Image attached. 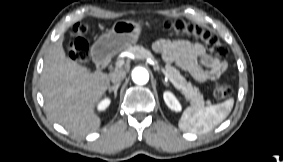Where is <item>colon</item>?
I'll use <instances>...</instances> for the list:
<instances>
[{"mask_svg":"<svg viewBox=\"0 0 283 162\" xmlns=\"http://www.w3.org/2000/svg\"><path fill=\"white\" fill-rule=\"evenodd\" d=\"M164 32L175 36H188L202 42L210 53L215 57L223 58L227 55V48L219 41V39L210 32L199 26L185 22L184 20H167L162 26ZM88 27L85 24H78L74 28L78 38L71 42L68 46L69 57L79 65H85L89 58L88 44L83 38ZM233 92L230 83L226 81L216 82L213 86V96L216 100H224Z\"/></svg>","mask_w":283,"mask_h":162,"instance_id":"1","label":"colon"}]
</instances>
